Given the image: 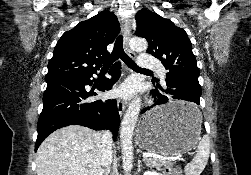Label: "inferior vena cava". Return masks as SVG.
Returning <instances> with one entry per match:
<instances>
[{
    "label": "inferior vena cava",
    "mask_w": 251,
    "mask_h": 175,
    "mask_svg": "<svg viewBox=\"0 0 251 175\" xmlns=\"http://www.w3.org/2000/svg\"><path fill=\"white\" fill-rule=\"evenodd\" d=\"M101 143H102L101 163L102 165H104V167H110L112 161V143H113L111 131H102Z\"/></svg>",
    "instance_id": "inferior-vena-cava-1"
}]
</instances>
